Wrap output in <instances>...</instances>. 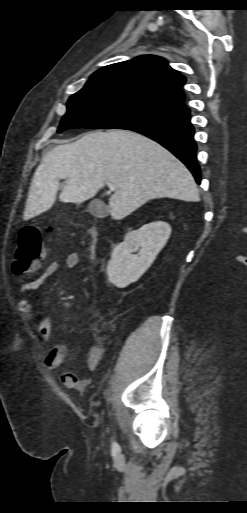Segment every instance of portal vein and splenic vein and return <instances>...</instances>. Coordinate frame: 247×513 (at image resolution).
<instances>
[{"mask_svg":"<svg viewBox=\"0 0 247 513\" xmlns=\"http://www.w3.org/2000/svg\"><path fill=\"white\" fill-rule=\"evenodd\" d=\"M107 186H108V188H109L111 191L115 190V186H114V184H112V183H108V184H107Z\"/></svg>","mask_w":247,"mask_h":513,"instance_id":"obj_1","label":"portal vein and splenic vein"}]
</instances>
